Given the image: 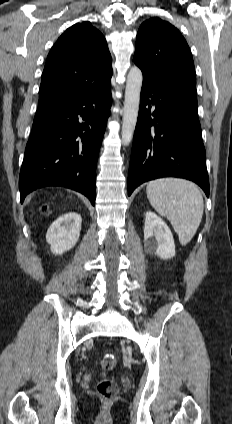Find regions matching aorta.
<instances>
[{"label": "aorta", "instance_id": "aorta-1", "mask_svg": "<svg viewBox=\"0 0 232 424\" xmlns=\"http://www.w3.org/2000/svg\"><path fill=\"white\" fill-rule=\"evenodd\" d=\"M143 76L141 70L134 66L130 69L125 90L124 113L122 122V143L129 145L133 138L134 130L137 123L140 92Z\"/></svg>", "mask_w": 232, "mask_h": 424}]
</instances>
